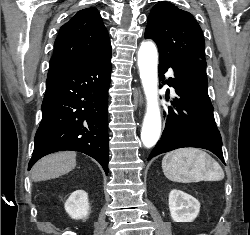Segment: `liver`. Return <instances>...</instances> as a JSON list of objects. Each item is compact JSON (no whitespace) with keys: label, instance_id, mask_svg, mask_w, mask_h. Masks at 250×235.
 <instances>
[{"label":"liver","instance_id":"1","mask_svg":"<svg viewBox=\"0 0 250 235\" xmlns=\"http://www.w3.org/2000/svg\"><path fill=\"white\" fill-rule=\"evenodd\" d=\"M76 166L75 152H58L39 160L32 168L35 182L57 178L67 174Z\"/></svg>","mask_w":250,"mask_h":235}]
</instances>
